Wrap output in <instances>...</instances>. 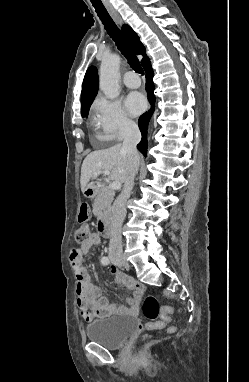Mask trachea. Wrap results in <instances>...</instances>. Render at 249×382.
<instances>
[{"label": "trachea", "instance_id": "trachea-1", "mask_svg": "<svg viewBox=\"0 0 249 382\" xmlns=\"http://www.w3.org/2000/svg\"><path fill=\"white\" fill-rule=\"evenodd\" d=\"M92 2L93 7L95 8V11L102 21L107 33L109 36L113 39V41L116 43L118 49L121 51V53L125 56L128 63L130 64L131 68L139 73L143 74V69L140 65V62L132 50L130 44L128 43L127 39L124 37L120 29L117 27L113 19L110 17L109 13L107 12L105 6L103 3L100 2Z\"/></svg>", "mask_w": 249, "mask_h": 382}]
</instances>
